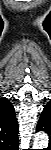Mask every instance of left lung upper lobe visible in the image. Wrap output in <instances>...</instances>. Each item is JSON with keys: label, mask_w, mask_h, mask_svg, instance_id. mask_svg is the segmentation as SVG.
<instances>
[{"label": "left lung upper lobe", "mask_w": 51, "mask_h": 150, "mask_svg": "<svg viewBox=\"0 0 51 150\" xmlns=\"http://www.w3.org/2000/svg\"><path fill=\"white\" fill-rule=\"evenodd\" d=\"M36 130L51 135V102H48L43 109Z\"/></svg>", "instance_id": "obj_1"}]
</instances>
